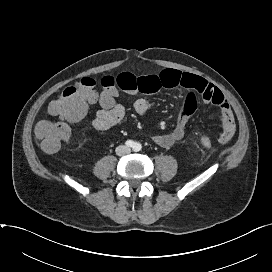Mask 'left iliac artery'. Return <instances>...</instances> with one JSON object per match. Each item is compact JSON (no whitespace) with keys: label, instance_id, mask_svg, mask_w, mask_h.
Masks as SVG:
<instances>
[{"label":"left iliac artery","instance_id":"44dca946","mask_svg":"<svg viewBox=\"0 0 272 272\" xmlns=\"http://www.w3.org/2000/svg\"><path fill=\"white\" fill-rule=\"evenodd\" d=\"M141 149V145L139 143H136L134 146L135 151H139Z\"/></svg>","mask_w":272,"mask_h":272}]
</instances>
